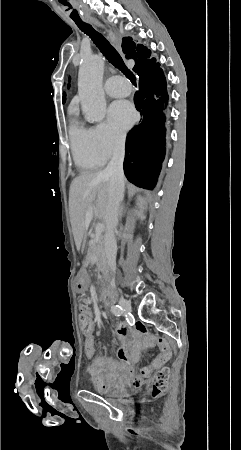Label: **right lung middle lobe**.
I'll return each instance as SVG.
<instances>
[{
    "label": "right lung middle lobe",
    "instance_id": "right-lung-middle-lobe-1",
    "mask_svg": "<svg viewBox=\"0 0 241 450\" xmlns=\"http://www.w3.org/2000/svg\"><path fill=\"white\" fill-rule=\"evenodd\" d=\"M65 100H66V97H65V95L63 96V103L65 102Z\"/></svg>",
    "mask_w": 241,
    "mask_h": 450
}]
</instances>
